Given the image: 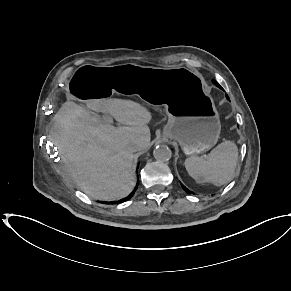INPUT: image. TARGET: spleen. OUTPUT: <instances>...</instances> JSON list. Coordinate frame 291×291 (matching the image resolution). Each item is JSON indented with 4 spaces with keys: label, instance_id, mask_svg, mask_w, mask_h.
Returning a JSON list of instances; mask_svg holds the SVG:
<instances>
[{
    "label": "spleen",
    "instance_id": "obj_1",
    "mask_svg": "<svg viewBox=\"0 0 291 291\" xmlns=\"http://www.w3.org/2000/svg\"><path fill=\"white\" fill-rule=\"evenodd\" d=\"M238 148L227 140L217 145L207 156L188 157L185 168L198 183L209 182L216 186L228 183L235 172Z\"/></svg>",
    "mask_w": 291,
    "mask_h": 291
}]
</instances>
